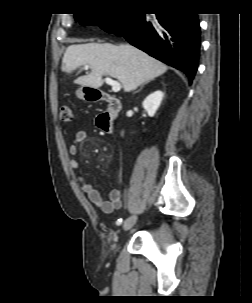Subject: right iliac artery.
<instances>
[{"label":"right iliac artery","instance_id":"right-iliac-artery-1","mask_svg":"<svg viewBox=\"0 0 252 303\" xmlns=\"http://www.w3.org/2000/svg\"><path fill=\"white\" fill-rule=\"evenodd\" d=\"M121 222H122V219H118L116 223H117L118 225H120Z\"/></svg>","mask_w":252,"mask_h":303}]
</instances>
